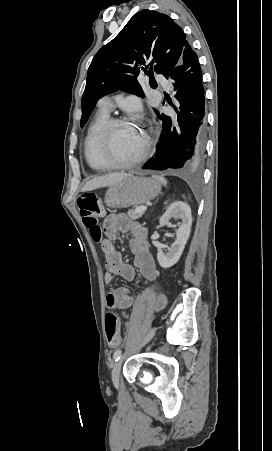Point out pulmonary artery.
Masks as SVG:
<instances>
[{
  "mask_svg": "<svg viewBox=\"0 0 272 451\" xmlns=\"http://www.w3.org/2000/svg\"><path fill=\"white\" fill-rule=\"evenodd\" d=\"M158 79L160 81L159 84L161 86V91L169 95L171 93L172 87L170 85V81L167 79L166 74L164 73L159 74ZM98 106L101 109L109 110L112 108V101L109 97H104L100 99Z\"/></svg>",
  "mask_w": 272,
  "mask_h": 451,
  "instance_id": "e3ab8cb5",
  "label": "pulmonary artery"
}]
</instances>
